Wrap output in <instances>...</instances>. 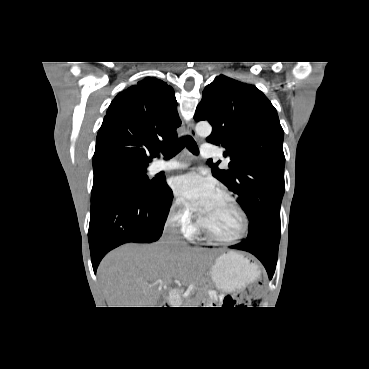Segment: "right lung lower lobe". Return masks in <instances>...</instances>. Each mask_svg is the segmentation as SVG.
Listing matches in <instances>:
<instances>
[{"label":"right lung lower lobe","instance_id":"right-lung-lower-lobe-1","mask_svg":"<svg viewBox=\"0 0 369 369\" xmlns=\"http://www.w3.org/2000/svg\"><path fill=\"white\" fill-rule=\"evenodd\" d=\"M155 191L116 185L91 200L88 231L93 270L106 253L128 242L151 243L163 232L173 193L161 179Z\"/></svg>","mask_w":369,"mask_h":369}]
</instances>
